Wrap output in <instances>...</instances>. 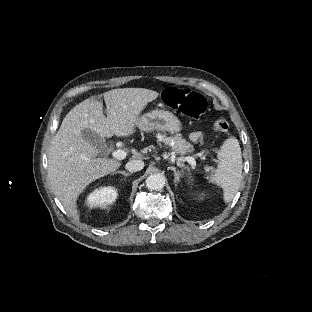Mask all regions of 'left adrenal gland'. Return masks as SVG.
<instances>
[{
    "label": "left adrenal gland",
    "instance_id": "1",
    "mask_svg": "<svg viewBox=\"0 0 312 312\" xmlns=\"http://www.w3.org/2000/svg\"><path fill=\"white\" fill-rule=\"evenodd\" d=\"M170 170H172L174 172V182L177 183L180 180V172L176 170L175 167L171 166L169 167Z\"/></svg>",
    "mask_w": 312,
    "mask_h": 312
}]
</instances>
